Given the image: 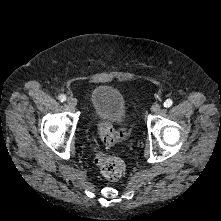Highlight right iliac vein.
Here are the masks:
<instances>
[{
    "label": "right iliac vein",
    "mask_w": 221,
    "mask_h": 221,
    "mask_svg": "<svg viewBox=\"0 0 221 221\" xmlns=\"http://www.w3.org/2000/svg\"><path fill=\"white\" fill-rule=\"evenodd\" d=\"M67 104L70 106V107H75L77 105V100L74 98V97H69L67 99Z\"/></svg>",
    "instance_id": "obj_1"
}]
</instances>
